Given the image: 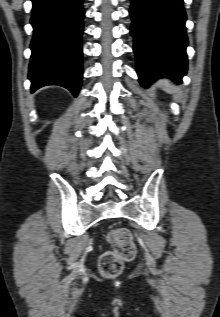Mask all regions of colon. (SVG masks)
<instances>
[{"label":"colon","instance_id":"5ec220e1","mask_svg":"<svg viewBox=\"0 0 220 317\" xmlns=\"http://www.w3.org/2000/svg\"><path fill=\"white\" fill-rule=\"evenodd\" d=\"M108 239L114 248L102 255L100 271L105 277H115L122 272L125 263L134 259L136 246L131 232L126 228L111 230Z\"/></svg>","mask_w":220,"mask_h":317}]
</instances>
